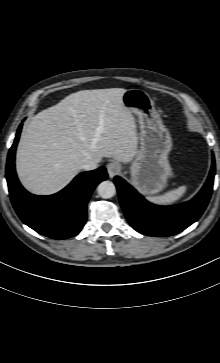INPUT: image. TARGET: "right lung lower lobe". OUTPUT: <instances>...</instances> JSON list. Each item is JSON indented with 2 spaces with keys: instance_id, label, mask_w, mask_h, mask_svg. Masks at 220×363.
<instances>
[{
  "instance_id": "obj_1",
  "label": "right lung lower lobe",
  "mask_w": 220,
  "mask_h": 363,
  "mask_svg": "<svg viewBox=\"0 0 220 363\" xmlns=\"http://www.w3.org/2000/svg\"><path fill=\"white\" fill-rule=\"evenodd\" d=\"M20 124L7 158L6 178L13 207L20 219L36 232L53 238L75 236L86 222V208L94 188L108 175L101 167L79 174L62 191L50 196H37L27 192L15 172V150L19 140Z\"/></svg>"
}]
</instances>
